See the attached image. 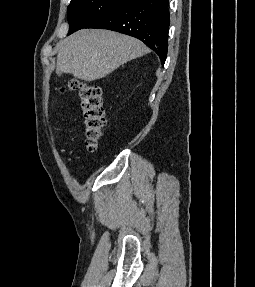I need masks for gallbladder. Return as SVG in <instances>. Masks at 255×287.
I'll list each match as a JSON object with an SVG mask.
<instances>
[{"instance_id":"bac80fb5","label":"gallbladder","mask_w":255,"mask_h":287,"mask_svg":"<svg viewBox=\"0 0 255 287\" xmlns=\"http://www.w3.org/2000/svg\"><path fill=\"white\" fill-rule=\"evenodd\" d=\"M56 74L57 76H62L63 72H61V70H56Z\"/></svg>"}]
</instances>
